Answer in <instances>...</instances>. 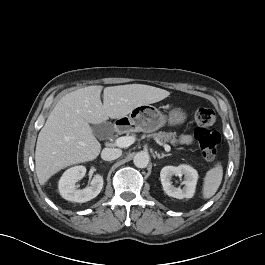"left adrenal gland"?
<instances>
[{"label":"left adrenal gland","instance_id":"a2214340","mask_svg":"<svg viewBox=\"0 0 265 265\" xmlns=\"http://www.w3.org/2000/svg\"><path fill=\"white\" fill-rule=\"evenodd\" d=\"M155 154H156V156H157L158 159H161V158H164V157H167V156H170V155H171V154H164V153H162V154L160 155V154L157 153V152H155Z\"/></svg>","mask_w":265,"mask_h":265}]
</instances>
